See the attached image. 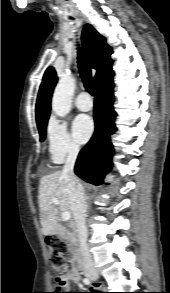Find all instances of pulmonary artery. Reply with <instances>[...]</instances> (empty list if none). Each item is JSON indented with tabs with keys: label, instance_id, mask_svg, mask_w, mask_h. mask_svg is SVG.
<instances>
[{
	"label": "pulmonary artery",
	"instance_id": "1",
	"mask_svg": "<svg viewBox=\"0 0 170 293\" xmlns=\"http://www.w3.org/2000/svg\"><path fill=\"white\" fill-rule=\"evenodd\" d=\"M76 106L81 111H89L93 107V101L87 92H81L76 100Z\"/></svg>",
	"mask_w": 170,
	"mask_h": 293
}]
</instances>
